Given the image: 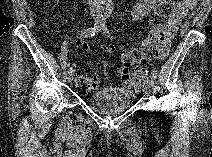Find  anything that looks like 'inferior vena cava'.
I'll list each match as a JSON object with an SVG mask.
<instances>
[{
	"label": "inferior vena cava",
	"mask_w": 212,
	"mask_h": 157,
	"mask_svg": "<svg viewBox=\"0 0 212 157\" xmlns=\"http://www.w3.org/2000/svg\"><path fill=\"white\" fill-rule=\"evenodd\" d=\"M89 4L91 10H98L101 7L100 0H89Z\"/></svg>",
	"instance_id": "inferior-vena-cava-1"
}]
</instances>
